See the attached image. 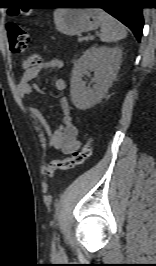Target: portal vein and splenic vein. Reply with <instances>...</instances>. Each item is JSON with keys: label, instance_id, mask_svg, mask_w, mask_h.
<instances>
[{"label": "portal vein and splenic vein", "instance_id": "obj_1", "mask_svg": "<svg viewBox=\"0 0 156 266\" xmlns=\"http://www.w3.org/2000/svg\"><path fill=\"white\" fill-rule=\"evenodd\" d=\"M84 40V38H79L78 41L79 42H82Z\"/></svg>", "mask_w": 156, "mask_h": 266}]
</instances>
